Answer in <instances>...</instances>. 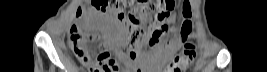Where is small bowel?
<instances>
[{"label":"small bowel","mask_w":267,"mask_h":72,"mask_svg":"<svg viewBox=\"0 0 267 72\" xmlns=\"http://www.w3.org/2000/svg\"><path fill=\"white\" fill-rule=\"evenodd\" d=\"M177 18L172 14L167 20V24L174 26L176 24ZM103 24L115 28V23L111 19H106ZM185 41L181 32L178 34L177 38L170 41L165 50L161 46H154L148 51H141L137 53H130L127 57L124 53L120 52L119 56L129 61L130 72H171V64L175 59V53L179 49L181 43ZM113 44L115 46H123L125 44V38L120 33H116L113 36ZM69 45L77 58L80 61V56L75 51V48L71 41L69 40ZM90 72L91 69L85 66Z\"/></svg>","instance_id":"1"}]
</instances>
